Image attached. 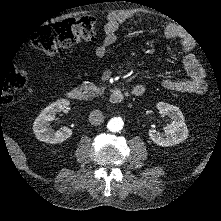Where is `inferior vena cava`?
I'll return each mask as SVG.
<instances>
[{
  "instance_id": "1",
  "label": "inferior vena cava",
  "mask_w": 221,
  "mask_h": 221,
  "mask_svg": "<svg viewBox=\"0 0 221 221\" xmlns=\"http://www.w3.org/2000/svg\"><path fill=\"white\" fill-rule=\"evenodd\" d=\"M88 120H89L90 124L93 125V126L101 125L104 122L103 112L100 111V110H93L89 114Z\"/></svg>"
}]
</instances>
